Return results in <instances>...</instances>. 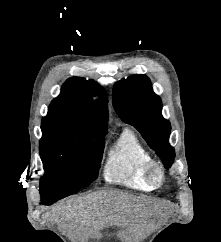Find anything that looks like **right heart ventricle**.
<instances>
[{
    "mask_svg": "<svg viewBox=\"0 0 221 242\" xmlns=\"http://www.w3.org/2000/svg\"><path fill=\"white\" fill-rule=\"evenodd\" d=\"M152 156L137 135L124 129L109 151L104 167V179L112 185L147 192L153 187L144 176V166Z\"/></svg>",
    "mask_w": 221,
    "mask_h": 242,
    "instance_id": "1",
    "label": "right heart ventricle"
}]
</instances>
